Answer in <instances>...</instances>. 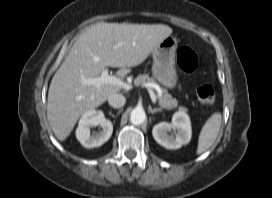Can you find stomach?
<instances>
[{
  "label": "stomach",
  "instance_id": "0dacf381",
  "mask_svg": "<svg viewBox=\"0 0 272 198\" xmlns=\"http://www.w3.org/2000/svg\"><path fill=\"white\" fill-rule=\"evenodd\" d=\"M176 50L177 40L169 36L152 52L153 77L167 88L175 87L178 79L175 67Z\"/></svg>",
  "mask_w": 272,
  "mask_h": 198
}]
</instances>
